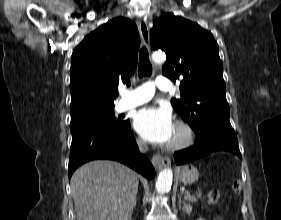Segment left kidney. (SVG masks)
I'll return each instance as SVG.
<instances>
[{"label": "left kidney", "instance_id": "left-kidney-1", "mask_svg": "<svg viewBox=\"0 0 281 220\" xmlns=\"http://www.w3.org/2000/svg\"><path fill=\"white\" fill-rule=\"evenodd\" d=\"M198 220H205V219L199 218Z\"/></svg>", "mask_w": 281, "mask_h": 220}]
</instances>
